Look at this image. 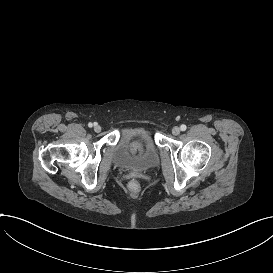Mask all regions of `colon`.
Segmentation results:
<instances>
[{"mask_svg": "<svg viewBox=\"0 0 273 273\" xmlns=\"http://www.w3.org/2000/svg\"><path fill=\"white\" fill-rule=\"evenodd\" d=\"M129 187H130L131 190L136 191V190L139 189L140 184H139L138 181L133 180V181L130 182Z\"/></svg>", "mask_w": 273, "mask_h": 273, "instance_id": "1", "label": "colon"}]
</instances>
